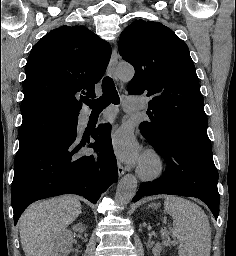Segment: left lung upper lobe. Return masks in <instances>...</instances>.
I'll list each match as a JSON object with an SVG mask.
<instances>
[{
	"instance_id": "1",
	"label": "left lung upper lobe",
	"mask_w": 236,
	"mask_h": 256,
	"mask_svg": "<svg viewBox=\"0 0 236 256\" xmlns=\"http://www.w3.org/2000/svg\"><path fill=\"white\" fill-rule=\"evenodd\" d=\"M122 58L133 65L131 95L146 94L151 122L139 125L150 144L162 147L169 138L210 144L207 116L195 66L185 42L159 22L136 20L122 32Z\"/></svg>"
}]
</instances>
